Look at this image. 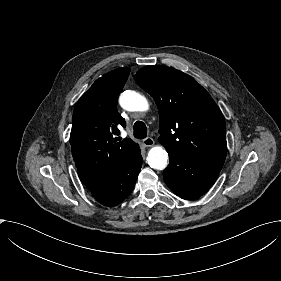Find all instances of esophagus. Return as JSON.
<instances>
[{
    "label": "esophagus",
    "instance_id": "1",
    "mask_svg": "<svg viewBox=\"0 0 281 281\" xmlns=\"http://www.w3.org/2000/svg\"><path fill=\"white\" fill-rule=\"evenodd\" d=\"M142 143L145 147H151L155 144L154 140L151 137L143 139Z\"/></svg>",
    "mask_w": 281,
    "mask_h": 281
}]
</instances>
